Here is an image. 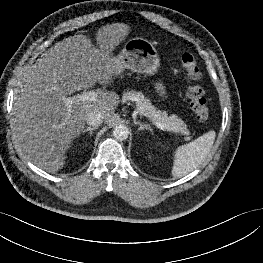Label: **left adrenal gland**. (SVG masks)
<instances>
[{
  "mask_svg": "<svg viewBox=\"0 0 263 263\" xmlns=\"http://www.w3.org/2000/svg\"><path fill=\"white\" fill-rule=\"evenodd\" d=\"M134 124L139 126V129H138L139 131H142V130H150L151 131L150 126L147 124H143V123L136 121V120H134Z\"/></svg>",
  "mask_w": 263,
  "mask_h": 263,
  "instance_id": "obj_1",
  "label": "left adrenal gland"
}]
</instances>
